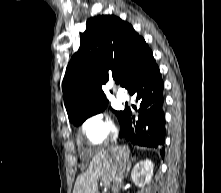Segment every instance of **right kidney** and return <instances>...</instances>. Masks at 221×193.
<instances>
[{"label": "right kidney", "instance_id": "obj_1", "mask_svg": "<svg viewBox=\"0 0 221 193\" xmlns=\"http://www.w3.org/2000/svg\"><path fill=\"white\" fill-rule=\"evenodd\" d=\"M153 168V162L148 159L137 163L131 173L134 184L139 187L148 184L153 176Z\"/></svg>", "mask_w": 221, "mask_h": 193}]
</instances>
